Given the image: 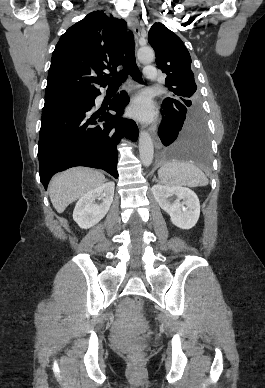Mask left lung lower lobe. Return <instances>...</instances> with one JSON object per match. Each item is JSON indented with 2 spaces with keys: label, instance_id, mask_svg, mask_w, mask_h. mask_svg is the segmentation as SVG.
I'll return each mask as SVG.
<instances>
[{
  "label": "left lung lower lobe",
  "instance_id": "left-lung-lower-lobe-1",
  "mask_svg": "<svg viewBox=\"0 0 265 388\" xmlns=\"http://www.w3.org/2000/svg\"><path fill=\"white\" fill-rule=\"evenodd\" d=\"M163 121L159 137L163 144L160 156L167 160H184L200 166L209 163V137L200 109H189L177 100H163Z\"/></svg>",
  "mask_w": 265,
  "mask_h": 388
}]
</instances>
